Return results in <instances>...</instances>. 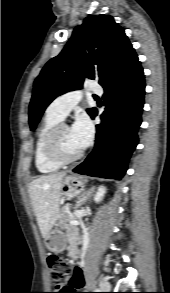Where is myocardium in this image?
<instances>
[{"instance_id":"1","label":"myocardium","mask_w":170,"mask_h":293,"mask_svg":"<svg viewBox=\"0 0 170 293\" xmlns=\"http://www.w3.org/2000/svg\"><path fill=\"white\" fill-rule=\"evenodd\" d=\"M63 127H68L64 123H58L55 125L52 130L50 131L47 141H46V146H45V152L47 157L54 163L64 165V164H69L72 162L77 161L80 159L83 155V150H80L78 153L71 157H65L61 154L60 148H59V132L61 128Z\"/></svg>"}]
</instances>
